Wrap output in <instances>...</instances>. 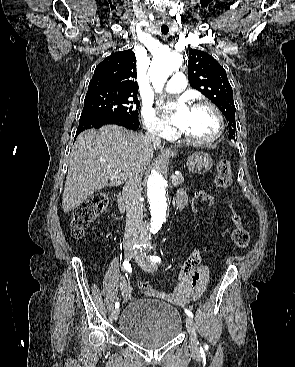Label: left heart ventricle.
Instances as JSON below:
<instances>
[{
  "mask_svg": "<svg viewBox=\"0 0 295 367\" xmlns=\"http://www.w3.org/2000/svg\"><path fill=\"white\" fill-rule=\"evenodd\" d=\"M218 128L214 113L207 107L190 108L182 131L195 139H207Z\"/></svg>",
  "mask_w": 295,
  "mask_h": 367,
  "instance_id": "left-heart-ventricle-1",
  "label": "left heart ventricle"
}]
</instances>
